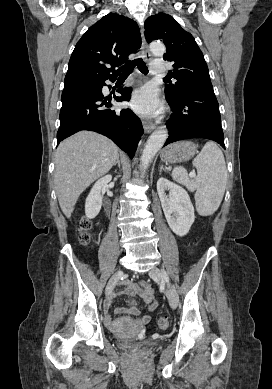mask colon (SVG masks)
<instances>
[{
    "instance_id": "colon-1",
    "label": "colon",
    "mask_w": 272,
    "mask_h": 389,
    "mask_svg": "<svg viewBox=\"0 0 272 389\" xmlns=\"http://www.w3.org/2000/svg\"><path fill=\"white\" fill-rule=\"evenodd\" d=\"M92 229V222L88 218H83L80 223L79 240L82 244H87L90 240V231ZM130 311L132 313L138 312L137 303L134 300L129 301ZM157 326L161 330H165L168 327V320L165 317H161L157 321Z\"/></svg>"
}]
</instances>
